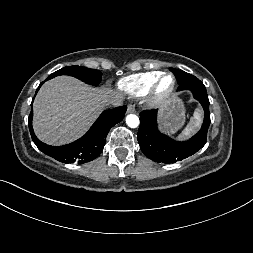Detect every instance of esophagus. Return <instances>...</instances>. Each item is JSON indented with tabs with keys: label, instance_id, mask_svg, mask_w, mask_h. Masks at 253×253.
<instances>
[{
	"label": "esophagus",
	"instance_id": "1",
	"mask_svg": "<svg viewBox=\"0 0 253 253\" xmlns=\"http://www.w3.org/2000/svg\"><path fill=\"white\" fill-rule=\"evenodd\" d=\"M127 112L128 113H134L135 112V107L134 105H128V108H127Z\"/></svg>",
	"mask_w": 253,
	"mask_h": 253
}]
</instances>
